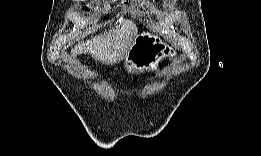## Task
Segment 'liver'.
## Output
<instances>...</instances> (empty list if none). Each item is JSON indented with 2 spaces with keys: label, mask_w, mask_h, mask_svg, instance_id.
Returning a JSON list of instances; mask_svg holds the SVG:
<instances>
[{
  "label": "liver",
  "mask_w": 261,
  "mask_h": 156,
  "mask_svg": "<svg viewBox=\"0 0 261 156\" xmlns=\"http://www.w3.org/2000/svg\"><path fill=\"white\" fill-rule=\"evenodd\" d=\"M137 31L135 23L125 20L119 26L91 37L86 42L81 41L71 49V54L72 56L90 54L96 61L107 65L119 63L131 47Z\"/></svg>",
  "instance_id": "1"
}]
</instances>
